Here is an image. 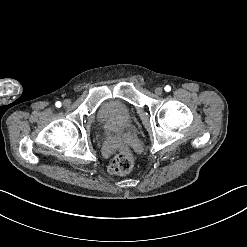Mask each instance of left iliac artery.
I'll return each instance as SVG.
<instances>
[{"instance_id": "44dca946", "label": "left iliac artery", "mask_w": 247, "mask_h": 247, "mask_svg": "<svg viewBox=\"0 0 247 247\" xmlns=\"http://www.w3.org/2000/svg\"><path fill=\"white\" fill-rule=\"evenodd\" d=\"M164 90H165L166 92H169V91L171 90V87H170L169 85H167V86H165Z\"/></svg>"}]
</instances>
